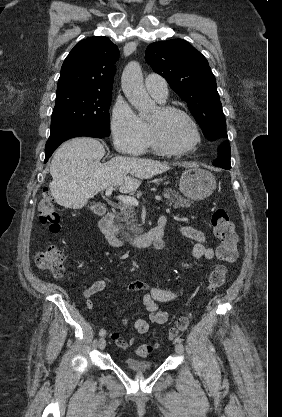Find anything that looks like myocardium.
<instances>
[{"label":"myocardium","mask_w":282,"mask_h":417,"mask_svg":"<svg viewBox=\"0 0 282 417\" xmlns=\"http://www.w3.org/2000/svg\"><path fill=\"white\" fill-rule=\"evenodd\" d=\"M159 110L165 116H179L183 118L192 130L194 139L190 144L185 146H171L168 143H166L159 131L156 128H154V126L149 122V130L158 148L167 153L173 154L186 153L195 150L201 142V135L196 123L191 118V116L187 114L185 111L171 106H162L159 107Z\"/></svg>","instance_id":"f54148a6"}]
</instances>
